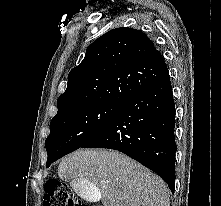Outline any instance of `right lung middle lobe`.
<instances>
[{"label": "right lung middle lobe", "mask_w": 221, "mask_h": 206, "mask_svg": "<svg viewBox=\"0 0 221 206\" xmlns=\"http://www.w3.org/2000/svg\"><path fill=\"white\" fill-rule=\"evenodd\" d=\"M123 106L109 103L88 104L57 113L50 123L45 147L46 167L62 156L82 147L104 129Z\"/></svg>", "instance_id": "obj_1"}]
</instances>
